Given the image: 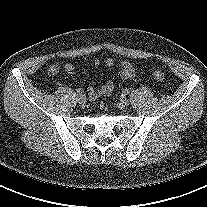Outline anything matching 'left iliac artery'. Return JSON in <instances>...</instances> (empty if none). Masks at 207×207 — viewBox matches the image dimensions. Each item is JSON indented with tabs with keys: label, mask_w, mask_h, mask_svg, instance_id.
Segmentation results:
<instances>
[{
	"label": "left iliac artery",
	"mask_w": 207,
	"mask_h": 207,
	"mask_svg": "<svg viewBox=\"0 0 207 207\" xmlns=\"http://www.w3.org/2000/svg\"><path fill=\"white\" fill-rule=\"evenodd\" d=\"M123 93H124L125 95H128V94L130 93V90H129V89H124V90H123Z\"/></svg>",
	"instance_id": "1"
}]
</instances>
